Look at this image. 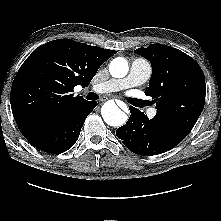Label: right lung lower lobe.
<instances>
[{"label":"right lung lower lobe","instance_id":"98d812e1","mask_svg":"<svg viewBox=\"0 0 221 221\" xmlns=\"http://www.w3.org/2000/svg\"><path fill=\"white\" fill-rule=\"evenodd\" d=\"M96 106L97 102L86 101L73 112L46 124L26 139L47 153L65 152L75 144L86 117Z\"/></svg>","mask_w":221,"mask_h":221}]
</instances>
